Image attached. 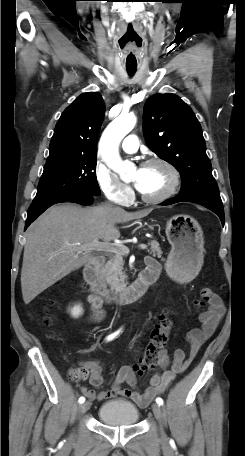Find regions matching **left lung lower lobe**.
I'll return each mask as SVG.
<instances>
[{
  "label": "left lung lower lobe",
  "instance_id": "left-lung-lower-lobe-1",
  "mask_svg": "<svg viewBox=\"0 0 245 456\" xmlns=\"http://www.w3.org/2000/svg\"><path fill=\"white\" fill-rule=\"evenodd\" d=\"M183 201H186V200H183L181 198H172L168 201L161 203V205H171V204H174L177 202H183ZM197 204L205 206L206 208H208V209L212 210L214 213H216L219 216L222 225L224 226V211H223L222 206H217V205L208 204V203H197Z\"/></svg>",
  "mask_w": 245,
  "mask_h": 456
}]
</instances>
